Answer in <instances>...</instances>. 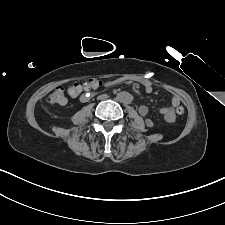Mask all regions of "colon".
<instances>
[{
  "label": "colon",
  "instance_id": "5ec220e1",
  "mask_svg": "<svg viewBox=\"0 0 225 225\" xmlns=\"http://www.w3.org/2000/svg\"><path fill=\"white\" fill-rule=\"evenodd\" d=\"M93 83L91 80L84 81L83 83H72L67 89L64 86H57L52 92H50L46 98L49 104H64L67 101L65 93L67 92L70 96L76 97L83 90H89L92 88ZM176 113L182 115L184 113L183 106L176 108Z\"/></svg>",
  "mask_w": 225,
  "mask_h": 225
}]
</instances>
